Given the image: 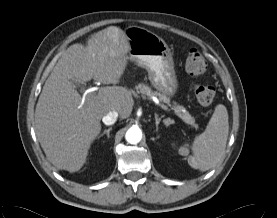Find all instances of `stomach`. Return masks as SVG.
<instances>
[{
  "instance_id": "0dacf381",
  "label": "stomach",
  "mask_w": 277,
  "mask_h": 218,
  "mask_svg": "<svg viewBox=\"0 0 277 218\" xmlns=\"http://www.w3.org/2000/svg\"><path fill=\"white\" fill-rule=\"evenodd\" d=\"M129 42V58L144 67L152 86L168 98L178 90L172 53L157 34L139 26L125 30Z\"/></svg>"
}]
</instances>
